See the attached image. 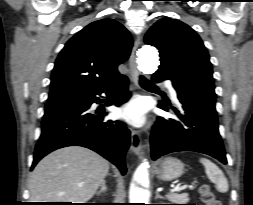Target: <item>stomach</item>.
<instances>
[{"mask_svg":"<svg viewBox=\"0 0 253 205\" xmlns=\"http://www.w3.org/2000/svg\"><path fill=\"white\" fill-rule=\"evenodd\" d=\"M183 172L184 164L175 158H166L155 168V173L158 177L166 181L180 177Z\"/></svg>","mask_w":253,"mask_h":205,"instance_id":"1","label":"stomach"}]
</instances>
